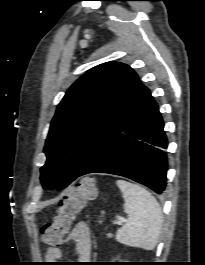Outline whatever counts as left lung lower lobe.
I'll return each mask as SVG.
<instances>
[{
	"label": "left lung lower lobe",
	"instance_id": "obj_1",
	"mask_svg": "<svg viewBox=\"0 0 205 265\" xmlns=\"http://www.w3.org/2000/svg\"><path fill=\"white\" fill-rule=\"evenodd\" d=\"M158 106L147 89L136 108L98 149L77 177L109 173L162 193L166 186L167 139Z\"/></svg>",
	"mask_w": 205,
	"mask_h": 265
}]
</instances>
